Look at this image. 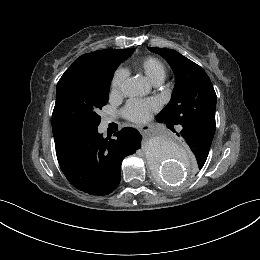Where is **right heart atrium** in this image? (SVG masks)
<instances>
[{"label": "right heart atrium", "instance_id": "d8ad5b80", "mask_svg": "<svg viewBox=\"0 0 260 260\" xmlns=\"http://www.w3.org/2000/svg\"><path fill=\"white\" fill-rule=\"evenodd\" d=\"M128 72L123 69L119 68L115 71L112 81H111V93L117 94L121 91L125 81L127 80Z\"/></svg>", "mask_w": 260, "mask_h": 260}]
</instances>
